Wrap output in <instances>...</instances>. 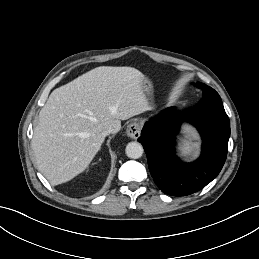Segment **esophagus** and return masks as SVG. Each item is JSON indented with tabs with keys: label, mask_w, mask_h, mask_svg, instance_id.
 I'll return each mask as SVG.
<instances>
[{
	"label": "esophagus",
	"mask_w": 259,
	"mask_h": 259,
	"mask_svg": "<svg viewBox=\"0 0 259 259\" xmlns=\"http://www.w3.org/2000/svg\"><path fill=\"white\" fill-rule=\"evenodd\" d=\"M126 134L132 139H137L141 134V126L137 122L130 123L126 129Z\"/></svg>",
	"instance_id": "34e87169"
}]
</instances>
